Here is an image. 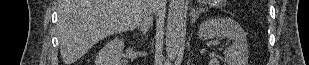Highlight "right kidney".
I'll use <instances>...</instances> for the list:
<instances>
[{"instance_id": "right-kidney-1", "label": "right kidney", "mask_w": 309, "mask_h": 65, "mask_svg": "<svg viewBox=\"0 0 309 65\" xmlns=\"http://www.w3.org/2000/svg\"><path fill=\"white\" fill-rule=\"evenodd\" d=\"M124 49V42L121 39L109 41L99 51L95 64L96 65H119Z\"/></svg>"}]
</instances>
